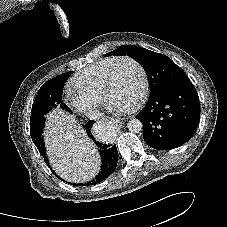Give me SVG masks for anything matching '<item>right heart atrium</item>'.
<instances>
[{
    "label": "right heart atrium",
    "mask_w": 227,
    "mask_h": 227,
    "mask_svg": "<svg viewBox=\"0 0 227 227\" xmlns=\"http://www.w3.org/2000/svg\"><path fill=\"white\" fill-rule=\"evenodd\" d=\"M67 102L75 111L91 116L98 109L101 100L75 92L67 95Z\"/></svg>",
    "instance_id": "right-heart-atrium-1"
}]
</instances>
